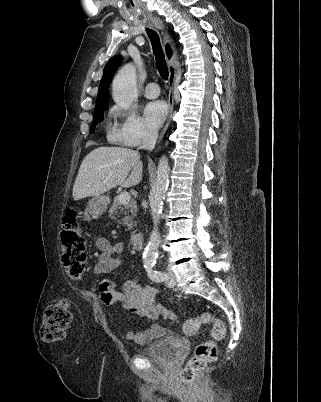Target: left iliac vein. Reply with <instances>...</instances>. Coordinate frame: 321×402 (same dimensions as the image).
Returning a JSON list of instances; mask_svg holds the SVG:
<instances>
[{
	"label": "left iliac vein",
	"instance_id": "obj_1",
	"mask_svg": "<svg viewBox=\"0 0 321 402\" xmlns=\"http://www.w3.org/2000/svg\"><path fill=\"white\" fill-rule=\"evenodd\" d=\"M166 285L171 288L176 285L175 275L172 271H168L167 273Z\"/></svg>",
	"mask_w": 321,
	"mask_h": 402
}]
</instances>
